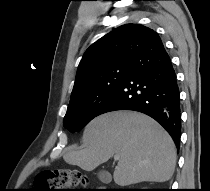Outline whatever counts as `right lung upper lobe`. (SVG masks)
Returning a JSON list of instances; mask_svg holds the SVG:
<instances>
[{"instance_id": "1", "label": "right lung upper lobe", "mask_w": 210, "mask_h": 191, "mask_svg": "<svg viewBox=\"0 0 210 191\" xmlns=\"http://www.w3.org/2000/svg\"><path fill=\"white\" fill-rule=\"evenodd\" d=\"M156 34L148 27L126 24L96 41L86 50L80 61L72 95L85 88L99 71L117 63L130 64Z\"/></svg>"}]
</instances>
